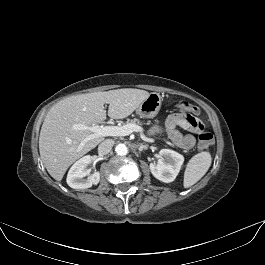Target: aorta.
<instances>
[{
  "mask_svg": "<svg viewBox=\"0 0 265 265\" xmlns=\"http://www.w3.org/2000/svg\"><path fill=\"white\" fill-rule=\"evenodd\" d=\"M115 152L120 155V156H124L127 155L128 153V148L126 145L124 144H118L115 148Z\"/></svg>",
  "mask_w": 265,
  "mask_h": 265,
  "instance_id": "1",
  "label": "aorta"
}]
</instances>
